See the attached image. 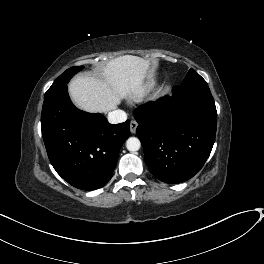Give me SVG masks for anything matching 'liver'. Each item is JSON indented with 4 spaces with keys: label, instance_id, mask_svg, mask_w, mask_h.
I'll return each mask as SVG.
<instances>
[{
    "label": "liver",
    "instance_id": "liver-1",
    "mask_svg": "<svg viewBox=\"0 0 264 264\" xmlns=\"http://www.w3.org/2000/svg\"><path fill=\"white\" fill-rule=\"evenodd\" d=\"M150 62L124 55L101 68L100 76L78 75L69 83V93L80 109L107 113L117 108L123 99L143 90L149 75Z\"/></svg>",
    "mask_w": 264,
    "mask_h": 264
}]
</instances>
